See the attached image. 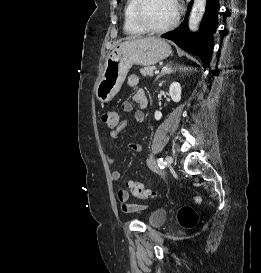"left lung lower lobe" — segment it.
<instances>
[{
    "instance_id": "left-lung-lower-lobe-1",
    "label": "left lung lower lobe",
    "mask_w": 261,
    "mask_h": 273,
    "mask_svg": "<svg viewBox=\"0 0 261 273\" xmlns=\"http://www.w3.org/2000/svg\"><path fill=\"white\" fill-rule=\"evenodd\" d=\"M192 2L188 5V11L183 23L178 29L165 33L161 37L176 43L180 48L200 57L206 69L211 61L214 41L213 34L218 24L219 0H207L206 12L197 34L188 31L187 19Z\"/></svg>"
}]
</instances>
